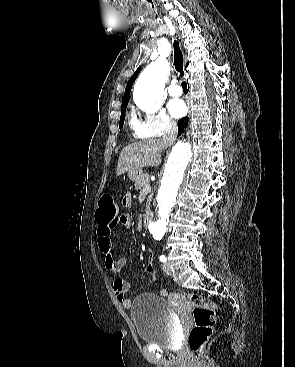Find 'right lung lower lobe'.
I'll list each match as a JSON object with an SVG mask.
<instances>
[{
	"instance_id": "right-lung-lower-lobe-1",
	"label": "right lung lower lobe",
	"mask_w": 295,
	"mask_h": 367,
	"mask_svg": "<svg viewBox=\"0 0 295 367\" xmlns=\"http://www.w3.org/2000/svg\"><path fill=\"white\" fill-rule=\"evenodd\" d=\"M188 117L182 118L178 121V132L181 135L188 124Z\"/></svg>"
}]
</instances>
